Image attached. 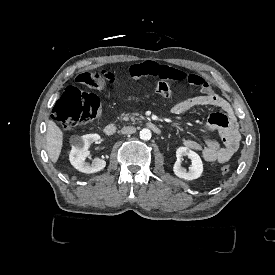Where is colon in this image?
I'll use <instances>...</instances> for the list:
<instances>
[{"label": "colon", "mask_w": 275, "mask_h": 275, "mask_svg": "<svg viewBox=\"0 0 275 275\" xmlns=\"http://www.w3.org/2000/svg\"><path fill=\"white\" fill-rule=\"evenodd\" d=\"M76 81L83 88L90 86L92 92L103 93L105 89L102 72L82 70L77 72ZM151 92L158 99L170 98L175 94L172 86L167 85L163 80L154 81L151 85ZM100 110L101 102L95 94L69 86L55 101L53 117L62 129H77L84 123L97 119ZM220 172L223 175L228 174L229 166L223 165Z\"/></svg>", "instance_id": "5ec220e1"}]
</instances>
